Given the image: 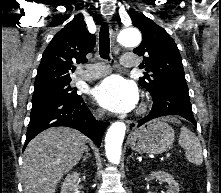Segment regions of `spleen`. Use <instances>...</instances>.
Here are the masks:
<instances>
[{
  "mask_svg": "<svg viewBox=\"0 0 221 193\" xmlns=\"http://www.w3.org/2000/svg\"><path fill=\"white\" fill-rule=\"evenodd\" d=\"M179 145L186 151V158L189 162L201 165L203 162L201 144L196 135L188 128L182 127L179 137Z\"/></svg>",
  "mask_w": 221,
  "mask_h": 193,
  "instance_id": "obj_1",
  "label": "spleen"
}]
</instances>
